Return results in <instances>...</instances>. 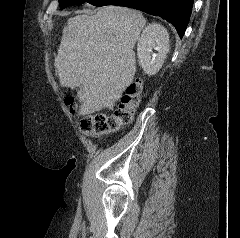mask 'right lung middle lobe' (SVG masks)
Masks as SVG:
<instances>
[{
	"label": "right lung middle lobe",
	"mask_w": 240,
	"mask_h": 238,
	"mask_svg": "<svg viewBox=\"0 0 240 238\" xmlns=\"http://www.w3.org/2000/svg\"><path fill=\"white\" fill-rule=\"evenodd\" d=\"M100 1L102 0H59V5H60V9H64L74 4H82L84 2L90 3L95 6Z\"/></svg>",
	"instance_id": "dd1d6c3e"
}]
</instances>
